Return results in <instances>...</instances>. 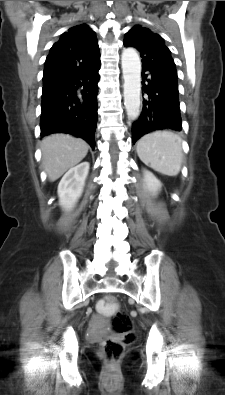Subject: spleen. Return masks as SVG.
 <instances>
[{
    "instance_id": "spleen-1",
    "label": "spleen",
    "mask_w": 225,
    "mask_h": 395,
    "mask_svg": "<svg viewBox=\"0 0 225 395\" xmlns=\"http://www.w3.org/2000/svg\"><path fill=\"white\" fill-rule=\"evenodd\" d=\"M137 154L144 164L155 171L176 176L183 160L182 140L171 131H155L138 141Z\"/></svg>"
}]
</instances>
